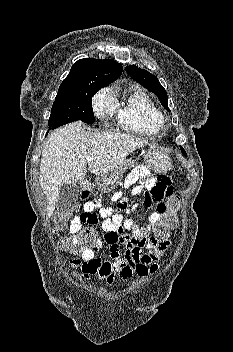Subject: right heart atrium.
<instances>
[{
  "instance_id": "d8ad5b80",
  "label": "right heart atrium",
  "mask_w": 233,
  "mask_h": 352,
  "mask_svg": "<svg viewBox=\"0 0 233 352\" xmlns=\"http://www.w3.org/2000/svg\"><path fill=\"white\" fill-rule=\"evenodd\" d=\"M95 115L105 120L113 115L116 109V99L110 88L100 90L92 101Z\"/></svg>"
}]
</instances>
